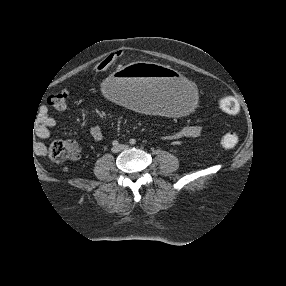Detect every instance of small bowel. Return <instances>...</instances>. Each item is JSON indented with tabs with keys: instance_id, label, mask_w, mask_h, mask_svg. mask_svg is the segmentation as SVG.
Instances as JSON below:
<instances>
[{
	"instance_id": "obj_1",
	"label": "small bowel",
	"mask_w": 286,
	"mask_h": 286,
	"mask_svg": "<svg viewBox=\"0 0 286 286\" xmlns=\"http://www.w3.org/2000/svg\"><path fill=\"white\" fill-rule=\"evenodd\" d=\"M40 126L37 129V136L43 140L48 139L51 136V128L55 125V119L48 113L47 110H42L40 112ZM201 133V127L196 124H188L181 127L179 130L174 132L171 135H168L167 138L170 140H180L183 138H195ZM91 137L95 141H102L104 139V133L102 128L99 125H94L90 130ZM71 156L73 159H78L80 155V143L76 139H67L65 141ZM35 150L40 155L46 153V146L42 142H38L35 145Z\"/></svg>"
}]
</instances>
